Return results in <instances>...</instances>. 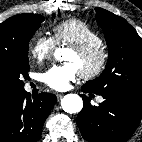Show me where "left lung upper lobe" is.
<instances>
[{
	"label": "left lung upper lobe",
	"mask_w": 142,
	"mask_h": 142,
	"mask_svg": "<svg viewBox=\"0 0 142 142\" xmlns=\"http://www.w3.org/2000/svg\"><path fill=\"white\" fill-rule=\"evenodd\" d=\"M95 10L108 46V62L102 74L83 87L98 95L142 102L141 37L125 19L102 8Z\"/></svg>",
	"instance_id": "1"
}]
</instances>
